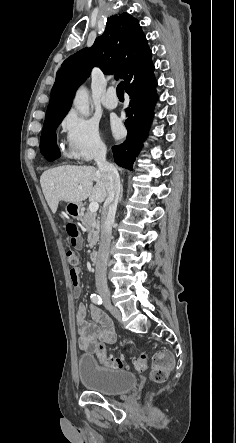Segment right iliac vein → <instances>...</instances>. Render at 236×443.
Wrapping results in <instances>:
<instances>
[{"instance_id": "right-iliac-vein-1", "label": "right iliac vein", "mask_w": 236, "mask_h": 443, "mask_svg": "<svg viewBox=\"0 0 236 443\" xmlns=\"http://www.w3.org/2000/svg\"><path fill=\"white\" fill-rule=\"evenodd\" d=\"M104 307L111 312V314L113 316H115L116 318H121V313L120 311L114 307L112 304H104Z\"/></svg>"}]
</instances>
